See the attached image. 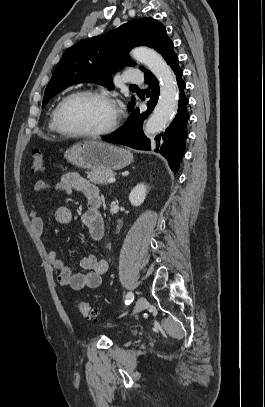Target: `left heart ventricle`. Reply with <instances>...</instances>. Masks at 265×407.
<instances>
[{"instance_id":"b2bd125f","label":"left heart ventricle","mask_w":265,"mask_h":407,"mask_svg":"<svg viewBox=\"0 0 265 407\" xmlns=\"http://www.w3.org/2000/svg\"><path fill=\"white\" fill-rule=\"evenodd\" d=\"M114 117L113 107L97 98L76 97L64 107L63 121L67 128L95 132L106 128Z\"/></svg>"}]
</instances>
